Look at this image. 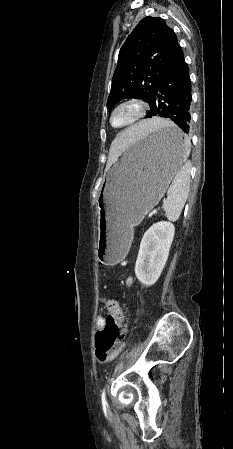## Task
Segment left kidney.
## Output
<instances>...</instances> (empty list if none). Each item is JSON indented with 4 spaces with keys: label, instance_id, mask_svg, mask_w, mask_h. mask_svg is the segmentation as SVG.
I'll use <instances>...</instances> for the list:
<instances>
[{
    "label": "left kidney",
    "instance_id": "1",
    "mask_svg": "<svg viewBox=\"0 0 233 449\" xmlns=\"http://www.w3.org/2000/svg\"><path fill=\"white\" fill-rule=\"evenodd\" d=\"M175 227L167 221L153 224L144 234L135 264V275L145 286L159 279L168 259Z\"/></svg>",
    "mask_w": 233,
    "mask_h": 449
}]
</instances>
